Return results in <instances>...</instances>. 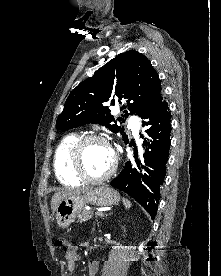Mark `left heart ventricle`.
<instances>
[{
  "instance_id": "1",
  "label": "left heart ventricle",
  "mask_w": 221,
  "mask_h": 276,
  "mask_svg": "<svg viewBox=\"0 0 221 276\" xmlns=\"http://www.w3.org/2000/svg\"><path fill=\"white\" fill-rule=\"evenodd\" d=\"M82 155L86 172L94 177L104 174L113 162L111 148L107 144L99 141L87 143Z\"/></svg>"
}]
</instances>
